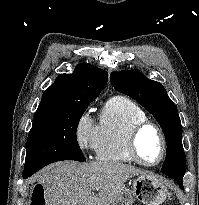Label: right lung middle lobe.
<instances>
[{"label":"right lung middle lobe","instance_id":"dd1d6c3e","mask_svg":"<svg viewBox=\"0 0 199 205\" xmlns=\"http://www.w3.org/2000/svg\"><path fill=\"white\" fill-rule=\"evenodd\" d=\"M94 99L54 106L35 113L28 134L23 176L60 160L86 161L77 142L80 118Z\"/></svg>","mask_w":199,"mask_h":205}]
</instances>
